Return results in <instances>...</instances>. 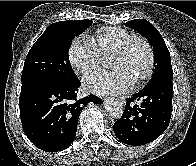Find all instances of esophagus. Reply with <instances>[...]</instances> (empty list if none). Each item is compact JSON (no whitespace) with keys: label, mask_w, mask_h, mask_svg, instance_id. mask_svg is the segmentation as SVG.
Listing matches in <instances>:
<instances>
[{"label":"esophagus","mask_w":196,"mask_h":166,"mask_svg":"<svg viewBox=\"0 0 196 166\" xmlns=\"http://www.w3.org/2000/svg\"><path fill=\"white\" fill-rule=\"evenodd\" d=\"M105 99H106V98H104V100H105ZM120 100H121L122 102H124L125 99H124V98H120Z\"/></svg>","instance_id":"1"}]
</instances>
